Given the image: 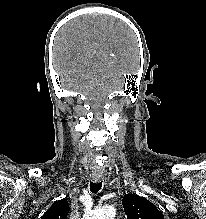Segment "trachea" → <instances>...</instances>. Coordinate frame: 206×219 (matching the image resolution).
I'll use <instances>...</instances> for the list:
<instances>
[{"label": "trachea", "instance_id": "trachea-1", "mask_svg": "<svg viewBox=\"0 0 206 219\" xmlns=\"http://www.w3.org/2000/svg\"><path fill=\"white\" fill-rule=\"evenodd\" d=\"M102 187V181L100 182H90V191L93 193V194H96L99 192V190L101 189Z\"/></svg>", "mask_w": 206, "mask_h": 219}]
</instances>
